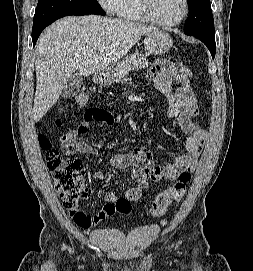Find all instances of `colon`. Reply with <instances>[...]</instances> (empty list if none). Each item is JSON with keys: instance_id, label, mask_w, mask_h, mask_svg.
<instances>
[{"instance_id": "5ec220e1", "label": "colon", "mask_w": 253, "mask_h": 271, "mask_svg": "<svg viewBox=\"0 0 253 271\" xmlns=\"http://www.w3.org/2000/svg\"><path fill=\"white\" fill-rule=\"evenodd\" d=\"M180 68L190 72L183 63H180ZM74 100L80 106L85 105L88 102L87 92L84 89L79 90ZM86 117L101 122L109 120L110 113L101 109H92L86 113ZM38 142L46 152L47 166L65 209L77 225L84 228L91 227L96 223L95 216L84 212L81 208V202L89 199L92 194L90 185L84 180L85 172L81 160L77 157L61 154L52 146L51 140L44 134L38 136ZM190 179L191 175L185 172L173 185L161 191L151 204V216L161 217L173 202L180 201L186 193ZM109 207L114 212L121 214H127L131 211V203L126 198H119Z\"/></svg>"}]
</instances>
